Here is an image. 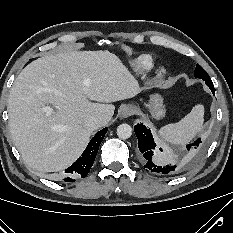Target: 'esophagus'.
I'll use <instances>...</instances> for the list:
<instances>
[{"mask_svg": "<svg viewBox=\"0 0 233 233\" xmlns=\"http://www.w3.org/2000/svg\"><path fill=\"white\" fill-rule=\"evenodd\" d=\"M135 113V109L133 106H126L123 110H122V117L127 118L131 115H133Z\"/></svg>", "mask_w": 233, "mask_h": 233, "instance_id": "1", "label": "esophagus"}]
</instances>
